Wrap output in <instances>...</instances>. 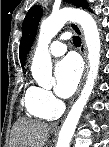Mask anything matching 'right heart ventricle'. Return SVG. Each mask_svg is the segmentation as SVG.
Returning <instances> with one entry per match:
<instances>
[{
	"label": "right heart ventricle",
	"instance_id": "e07e8e85",
	"mask_svg": "<svg viewBox=\"0 0 109 147\" xmlns=\"http://www.w3.org/2000/svg\"><path fill=\"white\" fill-rule=\"evenodd\" d=\"M39 88L28 84L24 93V103L28 113L37 119L51 120L57 116L59 108L50 110L44 107L38 100Z\"/></svg>",
	"mask_w": 109,
	"mask_h": 147
}]
</instances>
